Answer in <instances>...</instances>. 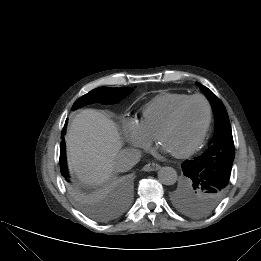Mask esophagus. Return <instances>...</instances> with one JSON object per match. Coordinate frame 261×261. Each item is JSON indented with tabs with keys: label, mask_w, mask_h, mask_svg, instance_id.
<instances>
[{
	"label": "esophagus",
	"mask_w": 261,
	"mask_h": 261,
	"mask_svg": "<svg viewBox=\"0 0 261 261\" xmlns=\"http://www.w3.org/2000/svg\"><path fill=\"white\" fill-rule=\"evenodd\" d=\"M160 164L158 163H148L146 164L144 167H143V170L146 171V172H150V171H157L160 169Z\"/></svg>",
	"instance_id": "34e87169"
}]
</instances>
